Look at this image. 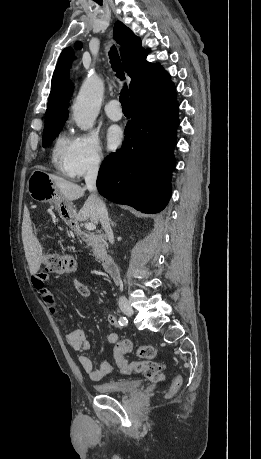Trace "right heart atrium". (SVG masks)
Listing matches in <instances>:
<instances>
[{"mask_svg":"<svg viewBox=\"0 0 261 459\" xmlns=\"http://www.w3.org/2000/svg\"><path fill=\"white\" fill-rule=\"evenodd\" d=\"M103 160L102 146L96 135L81 133L75 136L69 163L72 176L81 177L98 170Z\"/></svg>","mask_w":261,"mask_h":459,"instance_id":"obj_1","label":"right heart atrium"}]
</instances>
